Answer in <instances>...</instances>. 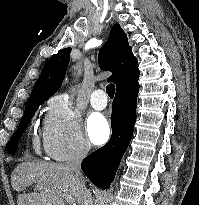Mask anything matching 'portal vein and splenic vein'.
<instances>
[{
  "label": "portal vein and splenic vein",
  "instance_id": "18ae733b",
  "mask_svg": "<svg viewBox=\"0 0 199 205\" xmlns=\"http://www.w3.org/2000/svg\"><path fill=\"white\" fill-rule=\"evenodd\" d=\"M60 196L63 197V198L66 200V202L69 203L70 205H76V204L72 201V199H71L70 197H68L67 195H65V194H60Z\"/></svg>",
  "mask_w": 199,
  "mask_h": 205
}]
</instances>
